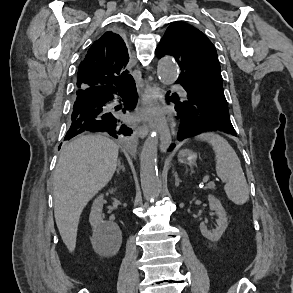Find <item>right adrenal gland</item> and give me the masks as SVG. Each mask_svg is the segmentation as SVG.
<instances>
[{
	"mask_svg": "<svg viewBox=\"0 0 293 293\" xmlns=\"http://www.w3.org/2000/svg\"><path fill=\"white\" fill-rule=\"evenodd\" d=\"M120 170H122L124 172L125 167H124V165L121 164L120 160H118L117 174H120Z\"/></svg>",
	"mask_w": 293,
	"mask_h": 293,
	"instance_id": "2a0ac1e0",
	"label": "right adrenal gland"
}]
</instances>
